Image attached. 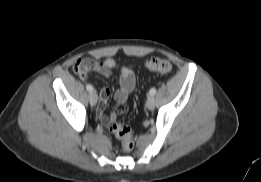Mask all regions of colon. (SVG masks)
<instances>
[{"mask_svg": "<svg viewBox=\"0 0 261 182\" xmlns=\"http://www.w3.org/2000/svg\"><path fill=\"white\" fill-rule=\"evenodd\" d=\"M146 68L158 72L169 73L172 70V64L165 58L153 57L146 61ZM74 72L80 77L88 75V66L85 61L79 60L73 66ZM112 132L121 142V147L125 152H131L134 149L135 141L131 129L128 126L121 124L118 121L112 120L108 126Z\"/></svg>", "mask_w": 261, "mask_h": 182, "instance_id": "colon-1", "label": "colon"}]
</instances>
